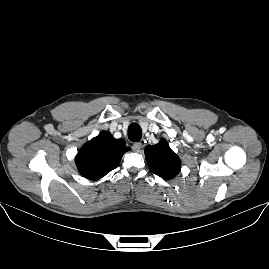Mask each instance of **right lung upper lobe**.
Listing matches in <instances>:
<instances>
[{
	"label": "right lung upper lobe",
	"instance_id": "right-lung-upper-lobe-1",
	"mask_svg": "<svg viewBox=\"0 0 269 269\" xmlns=\"http://www.w3.org/2000/svg\"><path fill=\"white\" fill-rule=\"evenodd\" d=\"M128 150L123 139H115L109 132L102 131L80 149L75 162L82 176L97 180L115 169Z\"/></svg>",
	"mask_w": 269,
	"mask_h": 269
}]
</instances>
